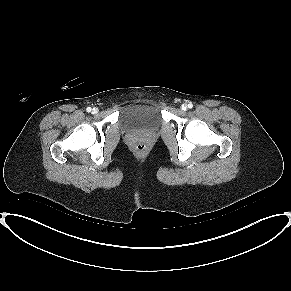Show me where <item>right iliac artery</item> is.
<instances>
[{
  "label": "right iliac artery",
  "instance_id": "obj_1",
  "mask_svg": "<svg viewBox=\"0 0 291 291\" xmlns=\"http://www.w3.org/2000/svg\"><path fill=\"white\" fill-rule=\"evenodd\" d=\"M86 111L91 112V107H87Z\"/></svg>",
  "mask_w": 291,
  "mask_h": 291
}]
</instances>
